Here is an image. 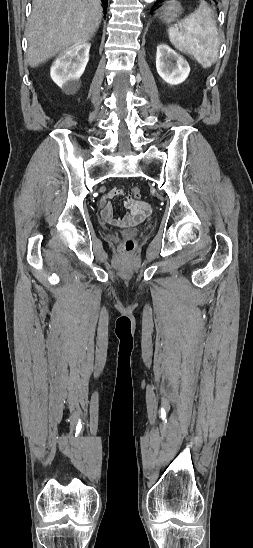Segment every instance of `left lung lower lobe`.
<instances>
[{"instance_id": "left-lung-lower-lobe-1", "label": "left lung lower lobe", "mask_w": 253, "mask_h": 548, "mask_svg": "<svg viewBox=\"0 0 253 548\" xmlns=\"http://www.w3.org/2000/svg\"><path fill=\"white\" fill-rule=\"evenodd\" d=\"M160 1H162V0H157V2L155 3V5H154V6H156V5H157V4H158V3L160 2Z\"/></svg>"}]
</instances>
